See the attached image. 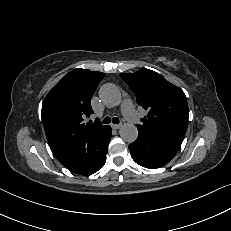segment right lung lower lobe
Instances as JSON below:
<instances>
[{
    "instance_id": "98d812e1",
    "label": "right lung lower lobe",
    "mask_w": 231,
    "mask_h": 231,
    "mask_svg": "<svg viewBox=\"0 0 231 231\" xmlns=\"http://www.w3.org/2000/svg\"><path fill=\"white\" fill-rule=\"evenodd\" d=\"M111 139V127L105 126L101 131L84 138L71 161H59L70 171L89 175L100 170L106 162V153Z\"/></svg>"
}]
</instances>
